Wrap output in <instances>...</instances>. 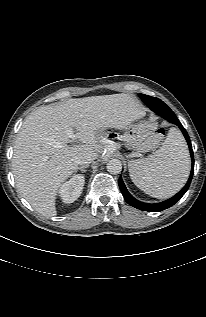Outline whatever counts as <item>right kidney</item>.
Wrapping results in <instances>:
<instances>
[{
  "instance_id": "1",
  "label": "right kidney",
  "mask_w": 206,
  "mask_h": 317,
  "mask_svg": "<svg viewBox=\"0 0 206 317\" xmlns=\"http://www.w3.org/2000/svg\"><path fill=\"white\" fill-rule=\"evenodd\" d=\"M85 183L83 175H74L69 181L63 183L59 194L64 203H73L82 193Z\"/></svg>"
}]
</instances>
